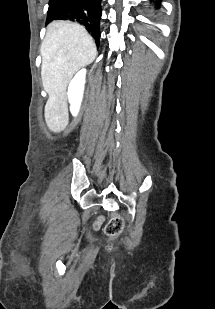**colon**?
<instances>
[{"label":"colon","mask_w":215,"mask_h":309,"mask_svg":"<svg viewBox=\"0 0 215 309\" xmlns=\"http://www.w3.org/2000/svg\"><path fill=\"white\" fill-rule=\"evenodd\" d=\"M124 222L121 218H112L105 226L104 230L107 235H116L122 231Z\"/></svg>","instance_id":"obj_1"}]
</instances>
